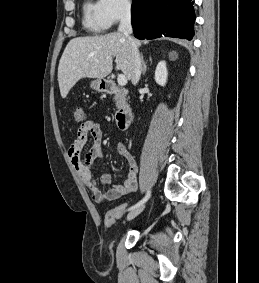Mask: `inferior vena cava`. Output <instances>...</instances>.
<instances>
[{"label": "inferior vena cava", "mask_w": 259, "mask_h": 283, "mask_svg": "<svg viewBox=\"0 0 259 283\" xmlns=\"http://www.w3.org/2000/svg\"><path fill=\"white\" fill-rule=\"evenodd\" d=\"M118 31L125 36V38L127 39L130 45L131 81L133 85H136L140 80L142 64H141V58L138 48L135 45L133 38L131 37L132 25H131V11L129 6L124 7L122 10Z\"/></svg>", "instance_id": "obj_1"}]
</instances>
